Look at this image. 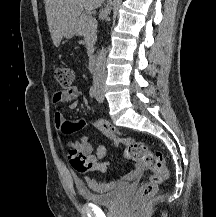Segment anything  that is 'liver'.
Returning a JSON list of instances; mask_svg holds the SVG:
<instances>
[{"mask_svg":"<svg viewBox=\"0 0 216 217\" xmlns=\"http://www.w3.org/2000/svg\"><path fill=\"white\" fill-rule=\"evenodd\" d=\"M104 0H44L47 23L55 47L75 24L83 10L99 8Z\"/></svg>","mask_w":216,"mask_h":217,"instance_id":"6515ba94","label":"liver"}]
</instances>
